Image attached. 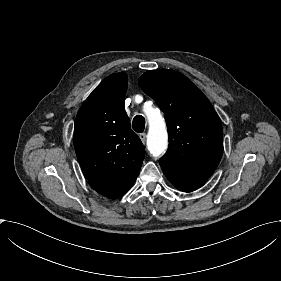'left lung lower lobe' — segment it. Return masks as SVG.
Wrapping results in <instances>:
<instances>
[{
	"label": "left lung lower lobe",
	"mask_w": 281,
	"mask_h": 281,
	"mask_svg": "<svg viewBox=\"0 0 281 281\" xmlns=\"http://www.w3.org/2000/svg\"><path fill=\"white\" fill-rule=\"evenodd\" d=\"M160 166L168 180L179 190L194 191L205 184L213 174L211 170H188L160 160Z\"/></svg>",
	"instance_id": "left-lung-lower-lobe-1"
}]
</instances>
